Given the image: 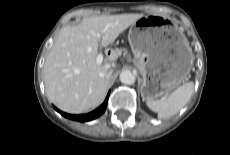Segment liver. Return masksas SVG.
<instances>
[{"instance_id": "obj_1", "label": "liver", "mask_w": 230, "mask_h": 155, "mask_svg": "<svg viewBox=\"0 0 230 155\" xmlns=\"http://www.w3.org/2000/svg\"><path fill=\"white\" fill-rule=\"evenodd\" d=\"M143 14L101 15L62 28L48 54L43 72L47 97L59 109L80 114L98 107L109 88L105 64H97L106 47ZM101 34V37H98Z\"/></svg>"}]
</instances>
